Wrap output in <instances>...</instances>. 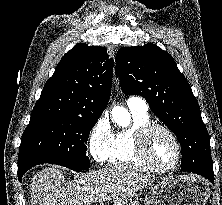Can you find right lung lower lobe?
<instances>
[{"mask_svg": "<svg viewBox=\"0 0 222 205\" xmlns=\"http://www.w3.org/2000/svg\"><path fill=\"white\" fill-rule=\"evenodd\" d=\"M38 164H42V162L41 161H32L29 163L18 164V179H19V181L22 180V177L26 171H28L30 168H32Z\"/></svg>", "mask_w": 222, "mask_h": 205, "instance_id": "98d812e1", "label": "right lung lower lobe"}]
</instances>
